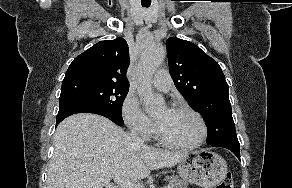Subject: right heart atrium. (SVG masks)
I'll return each instance as SVG.
<instances>
[{"instance_id": "right-heart-atrium-1", "label": "right heart atrium", "mask_w": 292, "mask_h": 188, "mask_svg": "<svg viewBox=\"0 0 292 188\" xmlns=\"http://www.w3.org/2000/svg\"><path fill=\"white\" fill-rule=\"evenodd\" d=\"M122 117L129 130L142 137L148 138L154 131V123L140 108L137 99L128 94L122 104Z\"/></svg>"}]
</instances>
